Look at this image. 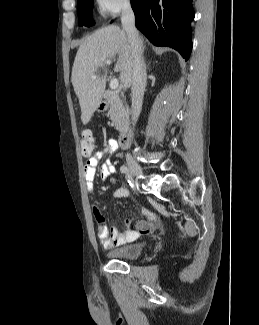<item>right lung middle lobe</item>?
I'll use <instances>...</instances> for the list:
<instances>
[{
    "label": "right lung middle lobe",
    "mask_w": 259,
    "mask_h": 325,
    "mask_svg": "<svg viewBox=\"0 0 259 325\" xmlns=\"http://www.w3.org/2000/svg\"><path fill=\"white\" fill-rule=\"evenodd\" d=\"M92 5L93 0H77V12L80 26L90 27L94 25V21L91 17Z\"/></svg>",
    "instance_id": "right-lung-middle-lobe-1"
}]
</instances>
